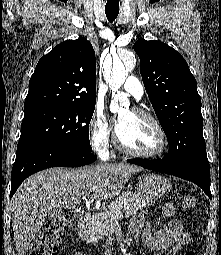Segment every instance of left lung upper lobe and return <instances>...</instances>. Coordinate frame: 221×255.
<instances>
[{
	"instance_id": "left-lung-upper-lobe-1",
	"label": "left lung upper lobe",
	"mask_w": 221,
	"mask_h": 255,
	"mask_svg": "<svg viewBox=\"0 0 221 255\" xmlns=\"http://www.w3.org/2000/svg\"><path fill=\"white\" fill-rule=\"evenodd\" d=\"M133 47L146 92L168 139L169 152L163 158L178 162L206 154L201 98L185 59L160 41L140 38Z\"/></svg>"
}]
</instances>
